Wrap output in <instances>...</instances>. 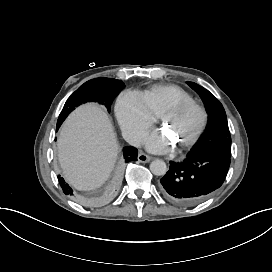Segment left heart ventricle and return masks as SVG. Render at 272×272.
Returning <instances> with one entry per match:
<instances>
[{"mask_svg":"<svg viewBox=\"0 0 272 272\" xmlns=\"http://www.w3.org/2000/svg\"><path fill=\"white\" fill-rule=\"evenodd\" d=\"M163 121L171 124L175 134L184 141L197 121V113L192 110L179 113L169 112L165 114Z\"/></svg>","mask_w":272,"mask_h":272,"instance_id":"left-heart-ventricle-1","label":"left heart ventricle"}]
</instances>
